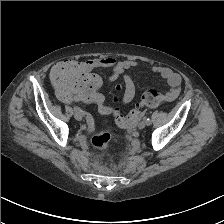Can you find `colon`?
Returning <instances> with one entry per match:
<instances>
[{"instance_id": "obj_1", "label": "colon", "mask_w": 224, "mask_h": 224, "mask_svg": "<svg viewBox=\"0 0 224 224\" xmlns=\"http://www.w3.org/2000/svg\"><path fill=\"white\" fill-rule=\"evenodd\" d=\"M50 78L54 84L59 97L66 103L92 102L97 98L101 85L98 75L87 70L82 64L75 61H61L53 66ZM120 88L117 86L116 91ZM163 95L154 91H147L141 98L140 103L127 117L120 114L117 103L119 98L113 96L115 104L113 114L115 122L122 128H130L135 124L140 108L145 106H156L163 100ZM111 134L102 130L92 137V144L98 149H106L111 144Z\"/></svg>"}]
</instances>
